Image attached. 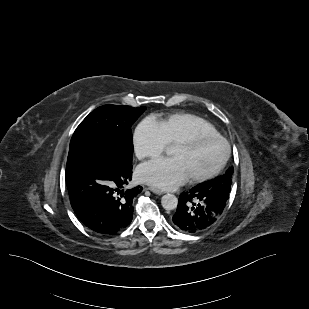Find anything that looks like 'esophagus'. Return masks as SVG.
Returning <instances> with one entry per match:
<instances>
[{"instance_id":"esophagus-1","label":"esophagus","mask_w":309,"mask_h":309,"mask_svg":"<svg viewBox=\"0 0 309 309\" xmlns=\"http://www.w3.org/2000/svg\"><path fill=\"white\" fill-rule=\"evenodd\" d=\"M148 189L150 190V191H152L153 193H155V194H158V195H162V194H164V191L163 190H161V189H159V188H156V187H148Z\"/></svg>"}]
</instances>
